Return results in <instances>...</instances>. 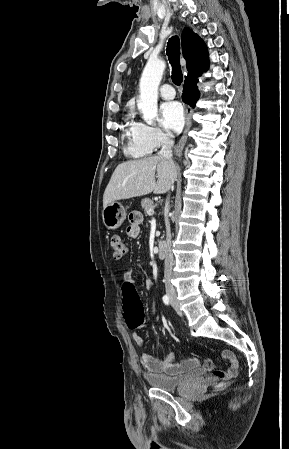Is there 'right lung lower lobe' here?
I'll return each mask as SVG.
<instances>
[{
    "label": "right lung lower lobe",
    "instance_id": "obj_1",
    "mask_svg": "<svg viewBox=\"0 0 289 449\" xmlns=\"http://www.w3.org/2000/svg\"><path fill=\"white\" fill-rule=\"evenodd\" d=\"M197 82L198 78H186L183 88L184 93L182 94V100L193 108L195 107V104L200 96L197 88Z\"/></svg>",
    "mask_w": 289,
    "mask_h": 449
}]
</instances>
